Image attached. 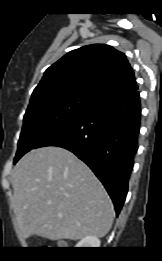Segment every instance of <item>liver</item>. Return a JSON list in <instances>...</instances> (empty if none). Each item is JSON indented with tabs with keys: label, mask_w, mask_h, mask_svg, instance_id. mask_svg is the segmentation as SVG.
I'll return each instance as SVG.
<instances>
[{
	"label": "liver",
	"mask_w": 162,
	"mask_h": 261,
	"mask_svg": "<svg viewBox=\"0 0 162 261\" xmlns=\"http://www.w3.org/2000/svg\"><path fill=\"white\" fill-rule=\"evenodd\" d=\"M12 199L24 238H102L111 229L113 204L93 172L56 146L31 150L12 173Z\"/></svg>",
	"instance_id": "obj_1"
}]
</instances>
